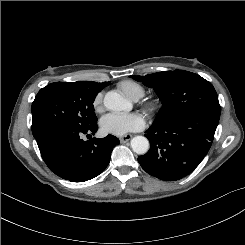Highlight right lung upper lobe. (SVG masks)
Masks as SVG:
<instances>
[{
  "mask_svg": "<svg viewBox=\"0 0 245 245\" xmlns=\"http://www.w3.org/2000/svg\"><path fill=\"white\" fill-rule=\"evenodd\" d=\"M82 83L88 84V85H93L95 87L101 88V90L108 86L110 82H103V83H96V82H89V81H80Z\"/></svg>",
  "mask_w": 245,
  "mask_h": 245,
  "instance_id": "obj_1",
  "label": "right lung upper lobe"
}]
</instances>
